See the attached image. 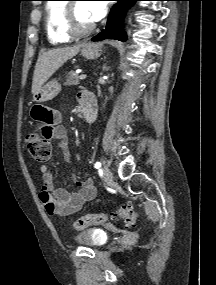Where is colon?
<instances>
[{
	"label": "colon",
	"mask_w": 216,
	"mask_h": 285,
	"mask_svg": "<svg viewBox=\"0 0 216 285\" xmlns=\"http://www.w3.org/2000/svg\"><path fill=\"white\" fill-rule=\"evenodd\" d=\"M26 147L29 154L37 161H47L50 157L51 149L49 141H43V136H37V133H34V131L30 132L26 136ZM109 219L121 220L127 226H134L136 221V212L131 205L126 204L114 210L110 214H87L75 221L74 228L76 230H83L92 225L105 223Z\"/></svg>",
	"instance_id": "5ec220e1"
}]
</instances>
